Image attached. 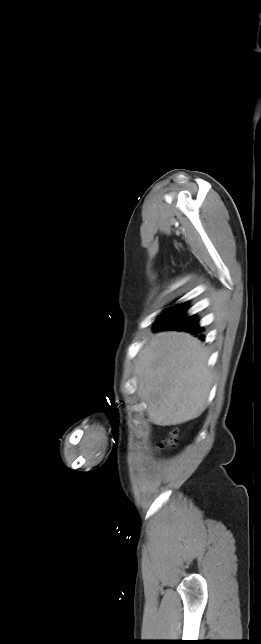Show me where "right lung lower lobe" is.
Wrapping results in <instances>:
<instances>
[{"instance_id": "98d812e1", "label": "right lung lower lobe", "mask_w": 261, "mask_h": 644, "mask_svg": "<svg viewBox=\"0 0 261 644\" xmlns=\"http://www.w3.org/2000/svg\"><path fill=\"white\" fill-rule=\"evenodd\" d=\"M187 309L185 307L180 308L179 310L173 312L167 317L161 319L155 329L159 330H178L186 331L191 334L197 335L203 331V328L198 325V319L195 315L186 316ZM199 338L204 340L203 335H199Z\"/></svg>"}]
</instances>
